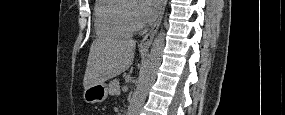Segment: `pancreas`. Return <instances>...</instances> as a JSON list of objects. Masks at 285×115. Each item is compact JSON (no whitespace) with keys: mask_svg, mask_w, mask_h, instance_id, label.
Wrapping results in <instances>:
<instances>
[{"mask_svg":"<svg viewBox=\"0 0 285 115\" xmlns=\"http://www.w3.org/2000/svg\"><path fill=\"white\" fill-rule=\"evenodd\" d=\"M119 90V80L118 79H114L112 81L109 82L108 84V92L110 95H115L118 93Z\"/></svg>","mask_w":285,"mask_h":115,"instance_id":"1","label":"pancreas"}]
</instances>
